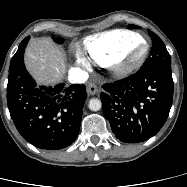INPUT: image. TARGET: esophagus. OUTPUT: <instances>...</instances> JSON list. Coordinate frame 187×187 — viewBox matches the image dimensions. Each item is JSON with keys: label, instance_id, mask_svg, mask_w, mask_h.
Instances as JSON below:
<instances>
[{"label": "esophagus", "instance_id": "obj_1", "mask_svg": "<svg viewBox=\"0 0 187 187\" xmlns=\"http://www.w3.org/2000/svg\"><path fill=\"white\" fill-rule=\"evenodd\" d=\"M86 90L90 95H95L99 91L98 87L92 82L88 83Z\"/></svg>", "mask_w": 187, "mask_h": 187}]
</instances>
